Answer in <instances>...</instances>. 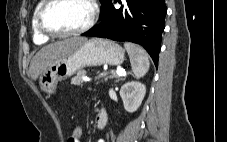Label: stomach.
<instances>
[{"label":"stomach","instance_id":"1","mask_svg":"<svg viewBox=\"0 0 227 142\" xmlns=\"http://www.w3.org/2000/svg\"><path fill=\"white\" fill-rule=\"evenodd\" d=\"M124 49L118 44L99 38H93L83 43L73 53L60 58L50 68L40 75L41 89L55 93L58 81L67 79L86 66L102 64L120 65L124 61Z\"/></svg>","mask_w":227,"mask_h":142}]
</instances>
